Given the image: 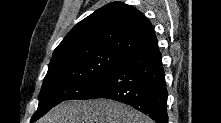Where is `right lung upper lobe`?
<instances>
[{
  "instance_id": "obj_1",
  "label": "right lung upper lobe",
  "mask_w": 221,
  "mask_h": 123,
  "mask_svg": "<svg viewBox=\"0 0 221 123\" xmlns=\"http://www.w3.org/2000/svg\"><path fill=\"white\" fill-rule=\"evenodd\" d=\"M106 48L125 55L157 48L151 22L136 8L112 2L73 27L53 58L86 49Z\"/></svg>"
}]
</instances>
